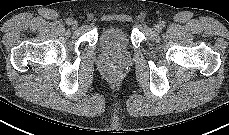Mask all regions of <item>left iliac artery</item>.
<instances>
[{"mask_svg":"<svg viewBox=\"0 0 229 135\" xmlns=\"http://www.w3.org/2000/svg\"><path fill=\"white\" fill-rule=\"evenodd\" d=\"M160 24H161V27L165 26V22L164 21H162Z\"/></svg>","mask_w":229,"mask_h":135,"instance_id":"obj_1","label":"left iliac artery"}]
</instances>
